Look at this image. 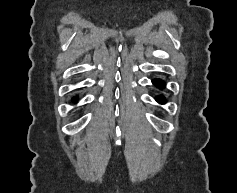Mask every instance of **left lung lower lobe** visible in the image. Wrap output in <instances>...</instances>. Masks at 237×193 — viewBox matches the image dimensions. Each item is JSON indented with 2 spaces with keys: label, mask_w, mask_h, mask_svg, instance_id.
<instances>
[{
  "label": "left lung lower lobe",
  "mask_w": 237,
  "mask_h": 193,
  "mask_svg": "<svg viewBox=\"0 0 237 193\" xmlns=\"http://www.w3.org/2000/svg\"><path fill=\"white\" fill-rule=\"evenodd\" d=\"M153 84L160 87V88H163L165 86V83L160 79L153 80ZM157 101L159 103H165V99L163 97H158Z\"/></svg>",
  "instance_id": "left-lung-lower-lobe-1"
}]
</instances>
